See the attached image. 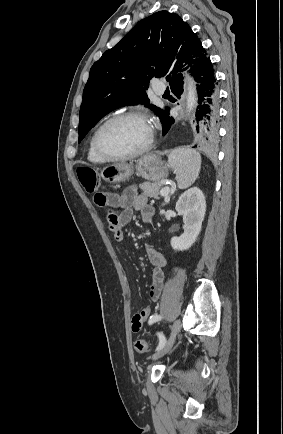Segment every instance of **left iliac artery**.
<instances>
[{
	"label": "left iliac artery",
	"instance_id": "1",
	"mask_svg": "<svg viewBox=\"0 0 283 434\" xmlns=\"http://www.w3.org/2000/svg\"><path fill=\"white\" fill-rule=\"evenodd\" d=\"M161 319H162V316H161V315H154V316H152V317L150 318L149 323H150V324H153V323H155V322H157V321H159V320H161ZM157 335H158V337H159V344H158L156 350H160V349L165 345V343H166V338H165L164 334L161 333V332H158Z\"/></svg>",
	"mask_w": 283,
	"mask_h": 434
}]
</instances>
